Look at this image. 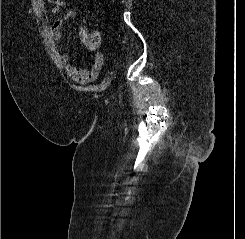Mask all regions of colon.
<instances>
[{
    "label": "colon",
    "mask_w": 245,
    "mask_h": 239,
    "mask_svg": "<svg viewBox=\"0 0 245 239\" xmlns=\"http://www.w3.org/2000/svg\"><path fill=\"white\" fill-rule=\"evenodd\" d=\"M50 2H56V0H49ZM98 43V39L95 35H91L89 38H88V45L93 48L97 45Z\"/></svg>",
    "instance_id": "5ec220e1"
}]
</instances>
